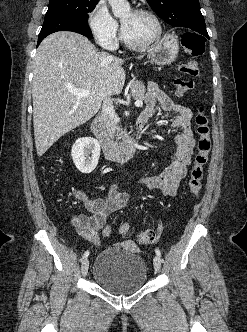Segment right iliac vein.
Masks as SVG:
<instances>
[{
    "label": "right iliac vein",
    "instance_id": "right-iliac-vein-1",
    "mask_svg": "<svg viewBox=\"0 0 247 332\" xmlns=\"http://www.w3.org/2000/svg\"><path fill=\"white\" fill-rule=\"evenodd\" d=\"M88 269H89V260L88 258H85L83 261H82V266H81V272H82V275L83 276H86L87 273H88Z\"/></svg>",
    "mask_w": 247,
    "mask_h": 332
}]
</instances>
